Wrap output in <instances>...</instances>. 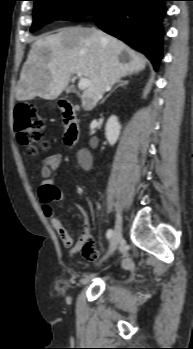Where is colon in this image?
I'll return each mask as SVG.
<instances>
[{"label":"colon","mask_w":193,"mask_h":349,"mask_svg":"<svg viewBox=\"0 0 193 349\" xmlns=\"http://www.w3.org/2000/svg\"><path fill=\"white\" fill-rule=\"evenodd\" d=\"M15 132L20 144L34 154L45 150L49 144L43 139L44 122L35 107L19 104L15 108Z\"/></svg>","instance_id":"5ec220e1"}]
</instances>
